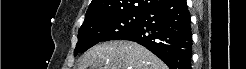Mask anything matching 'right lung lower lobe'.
Here are the masks:
<instances>
[{
    "instance_id": "right-lung-lower-lobe-1",
    "label": "right lung lower lobe",
    "mask_w": 246,
    "mask_h": 69,
    "mask_svg": "<svg viewBox=\"0 0 246 69\" xmlns=\"http://www.w3.org/2000/svg\"><path fill=\"white\" fill-rule=\"evenodd\" d=\"M120 39L145 46L170 69H191V19L186 0H167L146 10L140 24Z\"/></svg>"
}]
</instances>
